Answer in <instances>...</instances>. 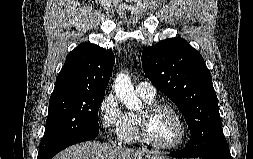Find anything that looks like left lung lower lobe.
<instances>
[{"label":"left lung lower lobe","instance_id":"obj_1","mask_svg":"<svg viewBox=\"0 0 253 159\" xmlns=\"http://www.w3.org/2000/svg\"><path fill=\"white\" fill-rule=\"evenodd\" d=\"M177 158L232 159L223 133L218 134L208 145L207 150L199 151V142L190 141L185 148L172 153Z\"/></svg>","mask_w":253,"mask_h":159}]
</instances>
